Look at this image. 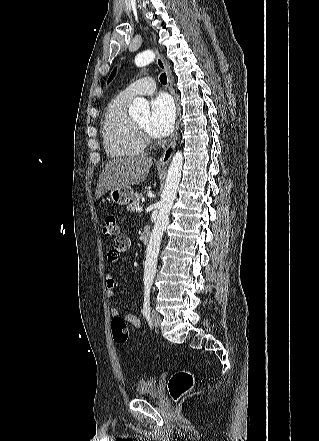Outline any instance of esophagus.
<instances>
[{
	"label": "esophagus",
	"instance_id": "1",
	"mask_svg": "<svg viewBox=\"0 0 319 441\" xmlns=\"http://www.w3.org/2000/svg\"><path fill=\"white\" fill-rule=\"evenodd\" d=\"M154 51L156 54L157 66L166 73L167 86H168L169 92L171 93V95L174 98L175 105H176V121H175V129H174L172 140H171L170 144L167 146V148L165 149L163 155L157 161V164H159V165H166L170 161V159L173 155V152H174V149L176 146V142H177V138H178L180 107H179L178 99H177V96L175 94V91H174V88L172 85V79H171L169 69H168L166 63L164 62V60L162 59L161 55L157 51V49H154Z\"/></svg>",
	"mask_w": 319,
	"mask_h": 441
}]
</instances>
